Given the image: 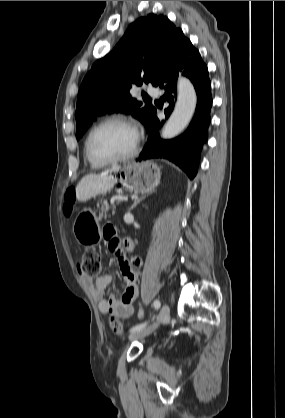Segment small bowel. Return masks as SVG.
<instances>
[{
  "instance_id": "obj_1",
  "label": "small bowel",
  "mask_w": 285,
  "mask_h": 418,
  "mask_svg": "<svg viewBox=\"0 0 285 418\" xmlns=\"http://www.w3.org/2000/svg\"><path fill=\"white\" fill-rule=\"evenodd\" d=\"M105 245L108 250L115 256L118 250L126 248L132 250L134 242L130 238L120 239L114 229L109 228L105 232ZM118 266L121 275L126 284V290L121 298L115 295H105L106 287L111 283L112 276L104 274L92 283L93 296L98 302V310L104 315H116L119 318L126 319L132 316L134 308L132 301L138 297V270L142 264V260L138 256H133L130 259L118 258ZM86 283H91L90 280L84 279ZM139 316L143 318L145 312L140 309Z\"/></svg>"
}]
</instances>
